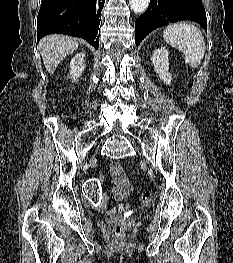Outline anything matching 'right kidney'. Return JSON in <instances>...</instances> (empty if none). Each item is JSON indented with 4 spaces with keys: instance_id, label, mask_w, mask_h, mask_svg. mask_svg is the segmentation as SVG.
Here are the masks:
<instances>
[{
    "instance_id": "1",
    "label": "right kidney",
    "mask_w": 233,
    "mask_h": 263,
    "mask_svg": "<svg viewBox=\"0 0 233 263\" xmlns=\"http://www.w3.org/2000/svg\"><path fill=\"white\" fill-rule=\"evenodd\" d=\"M85 54L84 52L77 53L70 62V77L72 82H76L78 78L81 76L82 72L85 69V62H84Z\"/></svg>"
}]
</instances>
